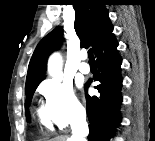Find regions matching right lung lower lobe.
<instances>
[{
	"label": "right lung lower lobe",
	"mask_w": 155,
	"mask_h": 141,
	"mask_svg": "<svg viewBox=\"0 0 155 141\" xmlns=\"http://www.w3.org/2000/svg\"><path fill=\"white\" fill-rule=\"evenodd\" d=\"M117 46L118 42L111 32L94 50L98 63L94 81H99L100 84L94 87L99 95L92 97L87 94L92 80L85 86L90 141H108L121 122L119 108L122 103V59Z\"/></svg>",
	"instance_id": "1"
}]
</instances>
